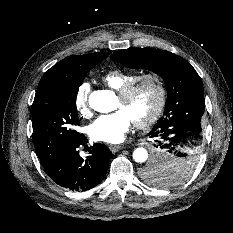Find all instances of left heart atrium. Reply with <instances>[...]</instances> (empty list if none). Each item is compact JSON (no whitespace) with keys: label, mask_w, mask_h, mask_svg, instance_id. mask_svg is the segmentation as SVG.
<instances>
[{"label":"left heart atrium","mask_w":233,"mask_h":233,"mask_svg":"<svg viewBox=\"0 0 233 233\" xmlns=\"http://www.w3.org/2000/svg\"><path fill=\"white\" fill-rule=\"evenodd\" d=\"M132 119L123 110L99 116L88 128L90 137L95 141L119 143L124 140L131 128Z\"/></svg>","instance_id":"left-heart-atrium-1"}]
</instances>
